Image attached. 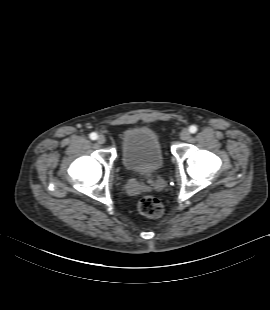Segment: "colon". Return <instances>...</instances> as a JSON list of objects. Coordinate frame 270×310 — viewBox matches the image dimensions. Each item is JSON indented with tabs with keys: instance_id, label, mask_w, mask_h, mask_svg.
<instances>
[{
	"instance_id": "1",
	"label": "colon",
	"mask_w": 270,
	"mask_h": 310,
	"mask_svg": "<svg viewBox=\"0 0 270 310\" xmlns=\"http://www.w3.org/2000/svg\"><path fill=\"white\" fill-rule=\"evenodd\" d=\"M138 210L144 216L158 218L163 214V205L156 197L145 196L139 200Z\"/></svg>"
}]
</instances>
